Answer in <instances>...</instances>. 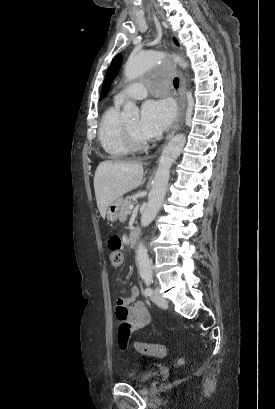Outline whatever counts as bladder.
I'll return each mask as SVG.
<instances>
[{
  "label": "bladder",
  "mask_w": 275,
  "mask_h": 409,
  "mask_svg": "<svg viewBox=\"0 0 275 409\" xmlns=\"http://www.w3.org/2000/svg\"><path fill=\"white\" fill-rule=\"evenodd\" d=\"M153 378H155L154 371L128 374L123 377V383H128V384H133V385L147 384Z\"/></svg>",
  "instance_id": "bladder-1"
}]
</instances>
